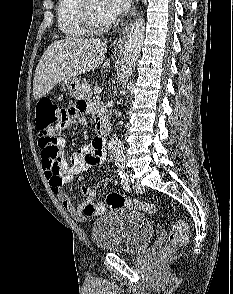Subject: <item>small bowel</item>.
<instances>
[{
  "mask_svg": "<svg viewBox=\"0 0 233 294\" xmlns=\"http://www.w3.org/2000/svg\"><path fill=\"white\" fill-rule=\"evenodd\" d=\"M98 104L93 101H79L71 104V108H59L58 119L52 123L55 132H40V137H63L69 134L67 126H73L77 118L87 114H94ZM42 165L45 176L52 191L58 197L63 207L77 221H85L95 214H88L86 207L94 204L96 197L95 186H83L81 192L85 201L81 205H75L69 196V186L75 175L80 174L93 166L102 164L106 159V151L103 143L97 138L75 153L66 152L67 141L65 138L55 139L53 144L43 145L40 142Z\"/></svg>",
  "mask_w": 233,
  "mask_h": 294,
  "instance_id": "c3829d8e",
  "label": "small bowel"
}]
</instances>
